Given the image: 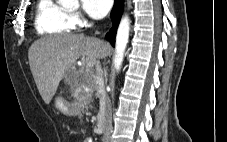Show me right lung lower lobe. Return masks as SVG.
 <instances>
[{
  "label": "right lung lower lobe",
  "mask_w": 227,
  "mask_h": 142,
  "mask_svg": "<svg viewBox=\"0 0 227 142\" xmlns=\"http://www.w3.org/2000/svg\"><path fill=\"white\" fill-rule=\"evenodd\" d=\"M123 10V0H115V5L111 12V19L113 21V26L110 31L106 34V38L110 41V43L115 45V36L118 24L120 22V18Z\"/></svg>",
  "instance_id": "98d812e1"
}]
</instances>
